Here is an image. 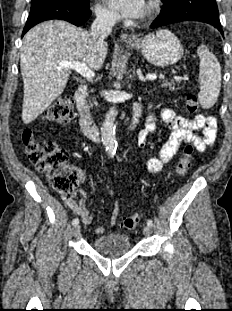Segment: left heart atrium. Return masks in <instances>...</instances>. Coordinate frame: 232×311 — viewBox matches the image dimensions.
<instances>
[{"label":"left heart atrium","instance_id":"left-heart-atrium-1","mask_svg":"<svg viewBox=\"0 0 232 311\" xmlns=\"http://www.w3.org/2000/svg\"><path fill=\"white\" fill-rule=\"evenodd\" d=\"M110 6L122 16L137 18L143 15L146 9L145 0H106Z\"/></svg>","mask_w":232,"mask_h":311}]
</instances>
